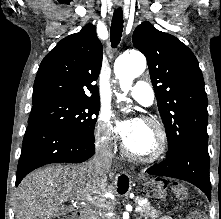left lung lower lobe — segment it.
<instances>
[{"label":"left lung lower lobe","mask_w":221,"mask_h":219,"mask_svg":"<svg viewBox=\"0 0 221 219\" xmlns=\"http://www.w3.org/2000/svg\"><path fill=\"white\" fill-rule=\"evenodd\" d=\"M148 174L188 181L200 188L211 201L208 141L192 140L166 159L146 170Z\"/></svg>","instance_id":"0a47b994"}]
</instances>
